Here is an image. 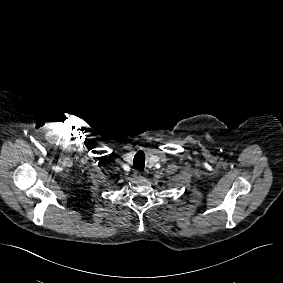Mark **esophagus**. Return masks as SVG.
<instances>
[{
  "mask_svg": "<svg viewBox=\"0 0 283 283\" xmlns=\"http://www.w3.org/2000/svg\"><path fill=\"white\" fill-rule=\"evenodd\" d=\"M134 177H135V179H138V180H142V179L145 178L144 174L141 171H136L134 173Z\"/></svg>",
  "mask_w": 283,
  "mask_h": 283,
  "instance_id": "obj_1",
  "label": "esophagus"
}]
</instances>
